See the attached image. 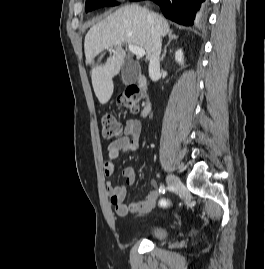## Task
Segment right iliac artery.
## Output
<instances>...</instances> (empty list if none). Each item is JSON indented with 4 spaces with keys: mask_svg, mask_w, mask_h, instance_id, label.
<instances>
[{
    "mask_svg": "<svg viewBox=\"0 0 265 269\" xmlns=\"http://www.w3.org/2000/svg\"><path fill=\"white\" fill-rule=\"evenodd\" d=\"M165 190H166V187L164 185H161L160 188H159V192L164 194Z\"/></svg>",
    "mask_w": 265,
    "mask_h": 269,
    "instance_id": "obj_1",
    "label": "right iliac artery"
}]
</instances>
